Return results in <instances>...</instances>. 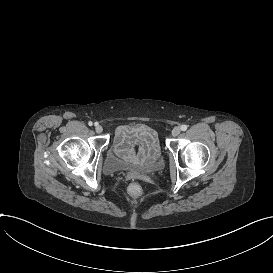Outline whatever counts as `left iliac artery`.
<instances>
[{
	"instance_id": "1",
	"label": "left iliac artery",
	"mask_w": 273,
	"mask_h": 273,
	"mask_svg": "<svg viewBox=\"0 0 273 273\" xmlns=\"http://www.w3.org/2000/svg\"><path fill=\"white\" fill-rule=\"evenodd\" d=\"M181 130H182V131H186V130H187V126H186V125H182V126H181Z\"/></svg>"
}]
</instances>
